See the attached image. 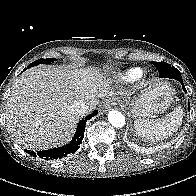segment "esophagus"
I'll use <instances>...</instances> for the list:
<instances>
[{
  "mask_svg": "<svg viewBox=\"0 0 196 196\" xmlns=\"http://www.w3.org/2000/svg\"><path fill=\"white\" fill-rule=\"evenodd\" d=\"M117 99L116 98H108L105 99L101 104H100V108L105 111L108 110L109 108H111L113 105L117 104Z\"/></svg>",
  "mask_w": 196,
  "mask_h": 196,
  "instance_id": "34e87169",
  "label": "esophagus"
}]
</instances>
